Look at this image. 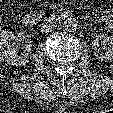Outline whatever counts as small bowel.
<instances>
[{"mask_svg": "<svg viewBox=\"0 0 113 113\" xmlns=\"http://www.w3.org/2000/svg\"><path fill=\"white\" fill-rule=\"evenodd\" d=\"M96 19L108 32L113 34V14H100Z\"/></svg>", "mask_w": 113, "mask_h": 113, "instance_id": "1", "label": "small bowel"}]
</instances>
